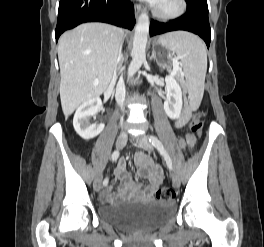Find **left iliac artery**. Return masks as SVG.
<instances>
[{
  "mask_svg": "<svg viewBox=\"0 0 264 247\" xmlns=\"http://www.w3.org/2000/svg\"><path fill=\"white\" fill-rule=\"evenodd\" d=\"M149 141L154 145V147L157 148V150L160 152V154L164 157L168 168L170 170H172L173 166H172L171 158L168 155V153L166 152V150L164 149L163 144L161 143V141L156 136H153V135H150Z\"/></svg>",
  "mask_w": 264,
  "mask_h": 247,
  "instance_id": "1",
  "label": "left iliac artery"
}]
</instances>
